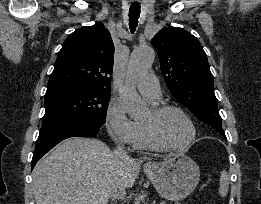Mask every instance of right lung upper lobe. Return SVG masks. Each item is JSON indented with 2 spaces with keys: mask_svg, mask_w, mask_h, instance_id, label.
Listing matches in <instances>:
<instances>
[{
  "mask_svg": "<svg viewBox=\"0 0 261 204\" xmlns=\"http://www.w3.org/2000/svg\"><path fill=\"white\" fill-rule=\"evenodd\" d=\"M113 58L111 35L101 23L77 29L58 53L46 94L77 89L111 91Z\"/></svg>",
  "mask_w": 261,
  "mask_h": 204,
  "instance_id": "cb5924a9",
  "label": "right lung upper lobe"
}]
</instances>
